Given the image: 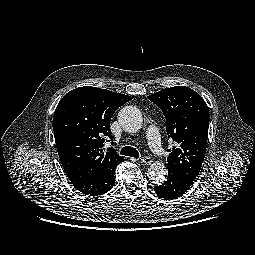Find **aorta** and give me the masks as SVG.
I'll return each instance as SVG.
<instances>
[{"label": "aorta", "instance_id": "1", "mask_svg": "<svg viewBox=\"0 0 255 255\" xmlns=\"http://www.w3.org/2000/svg\"><path fill=\"white\" fill-rule=\"evenodd\" d=\"M120 126L129 133L138 132L143 123L141 111L136 106H125L118 113ZM167 167L163 162H154L148 170L149 180L156 185L162 184L167 177Z\"/></svg>", "mask_w": 255, "mask_h": 255}]
</instances>
